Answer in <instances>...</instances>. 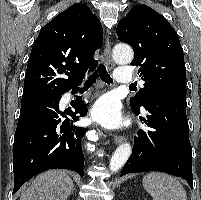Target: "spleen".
Here are the masks:
<instances>
[{
    "label": "spleen",
    "instance_id": "1",
    "mask_svg": "<svg viewBox=\"0 0 201 200\" xmlns=\"http://www.w3.org/2000/svg\"><path fill=\"white\" fill-rule=\"evenodd\" d=\"M142 184L153 200H187L181 183L165 173H149L143 178Z\"/></svg>",
    "mask_w": 201,
    "mask_h": 200
}]
</instances>
